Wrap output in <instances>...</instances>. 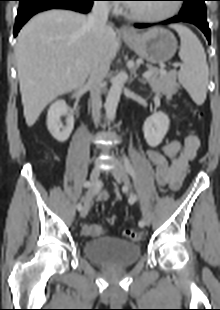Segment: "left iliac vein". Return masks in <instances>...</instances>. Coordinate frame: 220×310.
<instances>
[{
    "label": "left iliac vein",
    "mask_w": 220,
    "mask_h": 310,
    "mask_svg": "<svg viewBox=\"0 0 220 310\" xmlns=\"http://www.w3.org/2000/svg\"><path fill=\"white\" fill-rule=\"evenodd\" d=\"M112 174L117 180H121L127 189L132 191L131 183H130L129 177L126 173V170H125L122 162L119 161L118 159H116L114 161V167L112 169ZM143 221H144L146 226H150V223H151L150 218H149L148 214L145 213L144 211H143Z\"/></svg>",
    "instance_id": "1"
}]
</instances>
